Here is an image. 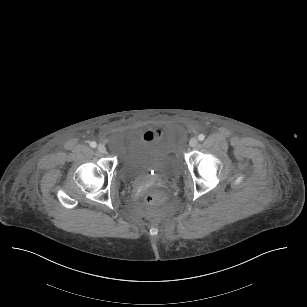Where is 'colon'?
Instances as JSON below:
<instances>
[{"mask_svg": "<svg viewBox=\"0 0 307 307\" xmlns=\"http://www.w3.org/2000/svg\"><path fill=\"white\" fill-rule=\"evenodd\" d=\"M144 140L146 141H156L162 138V131L159 128L149 130L143 135ZM164 195H161L158 191H151L146 197V201L151 206H158L163 200Z\"/></svg>", "mask_w": 307, "mask_h": 307, "instance_id": "5ec220e1", "label": "colon"}]
</instances>
